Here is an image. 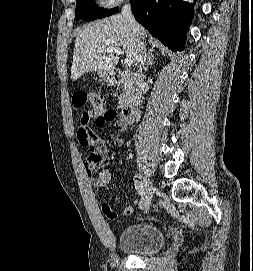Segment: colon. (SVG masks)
Instances as JSON below:
<instances>
[{"mask_svg": "<svg viewBox=\"0 0 253 271\" xmlns=\"http://www.w3.org/2000/svg\"><path fill=\"white\" fill-rule=\"evenodd\" d=\"M73 103L76 106H84L89 103L91 105V111L93 115L103 114L104 118L108 121H115L116 112L113 110H105V98L98 92H77L73 95Z\"/></svg>", "mask_w": 253, "mask_h": 271, "instance_id": "1", "label": "colon"}]
</instances>
